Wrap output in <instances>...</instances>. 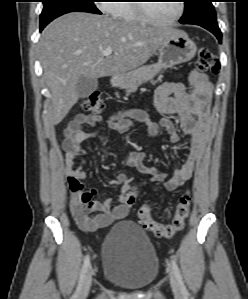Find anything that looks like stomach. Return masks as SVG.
I'll return each instance as SVG.
<instances>
[{
    "instance_id": "obj_1",
    "label": "stomach",
    "mask_w": 248,
    "mask_h": 299,
    "mask_svg": "<svg viewBox=\"0 0 248 299\" xmlns=\"http://www.w3.org/2000/svg\"><path fill=\"white\" fill-rule=\"evenodd\" d=\"M196 51V44L189 39L188 35L177 30L159 48V59L156 64L115 76L113 85L120 88L139 86L153 79L162 69L190 61L195 56Z\"/></svg>"
}]
</instances>
